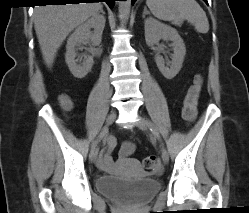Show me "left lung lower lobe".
Here are the masks:
<instances>
[{"label": "left lung lower lobe", "instance_id": "1", "mask_svg": "<svg viewBox=\"0 0 249 213\" xmlns=\"http://www.w3.org/2000/svg\"><path fill=\"white\" fill-rule=\"evenodd\" d=\"M135 1H136V0H132V4H134ZM204 1L208 4L207 0H204Z\"/></svg>", "mask_w": 249, "mask_h": 213}]
</instances>
